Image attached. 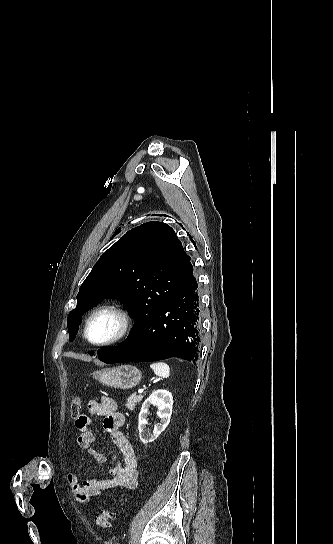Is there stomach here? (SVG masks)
Returning a JSON list of instances; mask_svg holds the SVG:
<instances>
[{
    "label": "stomach",
    "mask_w": 333,
    "mask_h": 544,
    "mask_svg": "<svg viewBox=\"0 0 333 544\" xmlns=\"http://www.w3.org/2000/svg\"><path fill=\"white\" fill-rule=\"evenodd\" d=\"M93 376L103 385L124 390L137 386L142 378L140 370L131 365L95 371Z\"/></svg>",
    "instance_id": "obj_1"
}]
</instances>
